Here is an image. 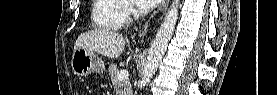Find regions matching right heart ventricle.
Wrapping results in <instances>:
<instances>
[{
  "label": "right heart ventricle",
  "mask_w": 277,
  "mask_h": 95,
  "mask_svg": "<svg viewBox=\"0 0 277 95\" xmlns=\"http://www.w3.org/2000/svg\"><path fill=\"white\" fill-rule=\"evenodd\" d=\"M92 25L104 31L116 30L127 20L122 0H93Z\"/></svg>",
  "instance_id": "e07e8e85"
}]
</instances>
